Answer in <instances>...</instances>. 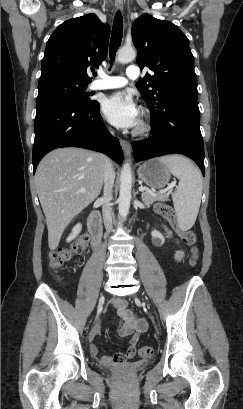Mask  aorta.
<instances>
[{"mask_svg":"<svg viewBox=\"0 0 243 409\" xmlns=\"http://www.w3.org/2000/svg\"><path fill=\"white\" fill-rule=\"evenodd\" d=\"M136 57V51L132 47H123L118 52V61L121 64L129 63L133 61ZM131 188H132V172L131 165L129 162H126L121 170L120 175V191L118 198V209L121 217H126L131 201Z\"/></svg>","mask_w":243,"mask_h":409,"instance_id":"obj_1","label":"aorta"}]
</instances>
